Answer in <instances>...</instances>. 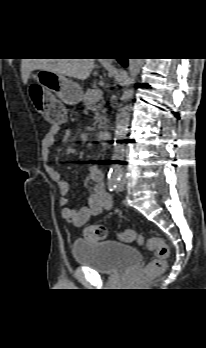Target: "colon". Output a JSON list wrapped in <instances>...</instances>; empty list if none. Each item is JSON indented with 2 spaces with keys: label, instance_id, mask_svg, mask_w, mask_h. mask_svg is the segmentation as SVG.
Segmentation results:
<instances>
[{
  "label": "colon",
  "instance_id": "5ec220e1",
  "mask_svg": "<svg viewBox=\"0 0 206 348\" xmlns=\"http://www.w3.org/2000/svg\"><path fill=\"white\" fill-rule=\"evenodd\" d=\"M30 96L37 111L54 126H60L66 122V111L56 97L45 93L39 86H32L30 88ZM83 235L88 241L102 240L106 237V229L101 225H89L84 228ZM119 237L124 241L136 239L138 242H142V237L137 236L136 233L130 229L122 231ZM147 247L150 251L154 252L155 259L139 272L141 277H151L162 273L166 268V262L170 254L168 244L159 237L149 238L147 240Z\"/></svg>",
  "mask_w": 206,
  "mask_h": 348
}]
</instances>
